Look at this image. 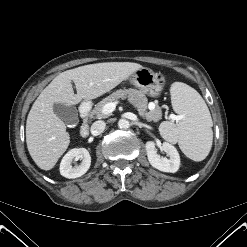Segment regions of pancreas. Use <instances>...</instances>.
<instances>
[{"label": "pancreas", "mask_w": 247, "mask_h": 247, "mask_svg": "<svg viewBox=\"0 0 247 247\" xmlns=\"http://www.w3.org/2000/svg\"><path fill=\"white\" fill-rule=\"evenodd\" d=\"M120 98H128V101L137 109L141 117H150L156 120L161 112L159 107L155 108L152 111H147L148 100L144 92L130 88L117 90L110 94L108 97L104 98L99 103H97L95 105V108L90 113V117H95L98 119L107 117L109 114L103 113L104 105Z\"/></svg>", "instance_id": "obj_1"}]
</instances>
